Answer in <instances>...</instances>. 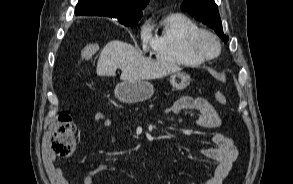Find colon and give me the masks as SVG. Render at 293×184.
Masks as SVG:
<instances>
[{"instance_id":"obj_1","label":"colon","mask_w":293,"mask_h":184,"mask_svg":"<svg viewBox=\"0 0 293 184\" xmlns=\"http://www.w3.org/2000/svg\"><path fill=\"white\" fill-rule=\"evenodd\" d=\"M99 50L97 43H92L85 46L79 55V62L92 58ZM215 99L222 105L227 104V97L221 91H216ZM76 125L72 116L68 113L62 112L58 115L57 121L53 131V142L51 147V154L56 158H67L71 156L75 150Z\"/></svg>"}]
</instances>
